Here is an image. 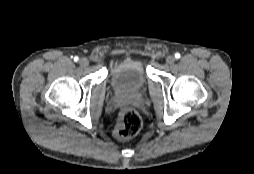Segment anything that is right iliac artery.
<instances>
[{
    "mask_svg": "<svg viewBox=\"0 0 254 174\" xmlns=\"http://www.w3.org/2000/svg\"><path fill=\"white\" fill-rule=\"evenodd\" d=\"M79 58L77 56L74 57V61L77 62Z\"/></svg>",
    "mask_w": 254,
    "mask_h": 174,
    "instance_id": "right-iliac-artery-1",
    "label": "right iliac artery"
}]
</instances>
